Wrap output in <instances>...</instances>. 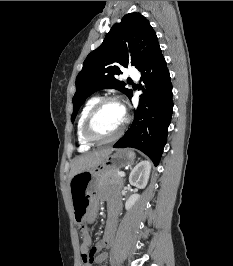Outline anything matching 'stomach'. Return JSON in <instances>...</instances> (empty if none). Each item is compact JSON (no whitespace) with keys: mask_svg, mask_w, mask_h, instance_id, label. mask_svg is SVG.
I'll return each mask as SVG.
<instances>
[{"mask_svg":"<svg viewBox=\"0 0 233 266\" xmlns=\"http://www.w3.org/2000/svg\"><path fill=\"white\" fill-rule=\"evenodd\" d=\"M133 157L124 149L110 152L103 161L95 167L84 170L73 176L69 183L73 215L76 223L81 224L89 209L90 200L97 190L99 176L108 171H115L132 163Z\"/></svg>","mask_w":233,"mask_h":266,"instance_id":"1","label":"stomach"}]
</instances>
